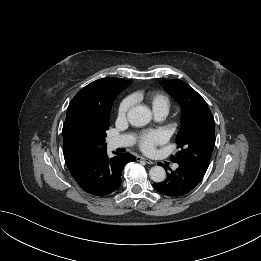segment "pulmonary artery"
I'll return each instance as SVG.
<instances>
[{
	"label": "pulmonary artery",
	"instance_id": "e3ab8cb5",
	"mask_svg": "<svg viewBox=\"0 0 261 261\" xmlns=\"http://www.w3.org/2000/svg\"><path fill=\"white\" fill-rule=\"evenodd\" d=\"M165 115H156L158 120H161L164 118ZM132 143V138L130 136H120L117 138H113L109 141V147L111 149H115L118 147H124V146H128ZM175 167H177L175 165Z\"/></svg>",
	"mask_w": 261,
	"mask_h": 261
}]
</instances>
